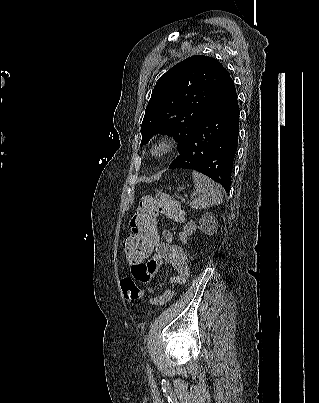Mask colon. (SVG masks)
<instances>
[{
	"label": "colon",
	"mask_w": 319,
	"mask_h": 403,
	"mask_svg": "<svg viewBox=\"0 0 319 403\" xmlns=\"http://www.w3.org/2000/svg\"><path fill=\"white\" fill-rule=\"evenodd\" d=\"M161 214L173 219L180 217L181 210L174 198L168 194L159 193L141 199L130 219L133 231L128 238H125V245H123L126 264L131 265L140 261L150 264L154 247H158L159 230L162 225L157 217ZM130 277H123L121 289L125 294L127 304L135 305L145 296L146 291L140 288V283H133Z\"/></svg>",
	"instance_id": "5ec220e1"
}]
</instances>
